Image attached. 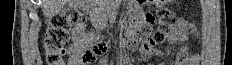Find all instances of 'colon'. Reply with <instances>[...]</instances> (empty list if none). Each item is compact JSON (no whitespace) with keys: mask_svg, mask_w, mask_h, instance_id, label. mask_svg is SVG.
<instances>
[{"mask_svg":"<svg viewBox=\"0 0 232 65\" xmlns=\"http://www.w3.org/2000/svg\"><path fill=\"white\" fill-rule=\"evenodd\" d=\"M157 7L158 26L152 37L143 43L144 49L165 42L174 32L176 17L164 1H155ZM86 18L75 7H69L51 18L49 27L44 37L43 45L47 65H65L63 56L65 46L69 40V30L75 24L85 23ZM106 45L100 44L93 49H88L82 54L85 65L94 64L96 59L106 52Z\"/></svg>","mask_w":232,"mask_h":65,"instance_id":"obj_1","label":"colon"}]
</instances>
